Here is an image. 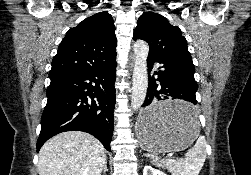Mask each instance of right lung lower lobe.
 Here are the masks:
<instances>
[{
    "label": "right lung lower lobe",
    "instance_id": "right-lung-lower-lobe-1",
    "mask_svg": "<svg viewBox=\"0 0 251 175\" xmlns=\"http://www.w3.org/2000/svg\"><path fill=\"white\" fill-rule=\"evenodd\" d=\"M116 61L109 65L50 78L37 151L52 136L87 132L111 151L114 127Z\"/></svg>",
    "mask_w": 251,
    "mask_h": 175
}]
</instances>
